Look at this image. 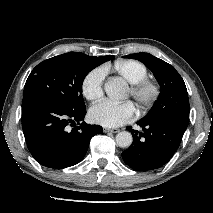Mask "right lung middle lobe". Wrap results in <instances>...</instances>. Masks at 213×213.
<instances>
[{
	"label": "right lung middle lobe",
	"instance_id": "1",
	"mask_svg": "<svg viewBox=\"0 0 213 213\" xmlns=\"http://www.w3.org/2000/svg\"><path fill=\"white\" fill-rule=\"evenodd\" d=\"M95 66V62L79 52H68L47 59L30 73L23 96L39 94L69 111H82L86 109L82 83Z\"/></svg>",
	"mask_w": 213,
	"mask_h": 213
}]
</instances>
